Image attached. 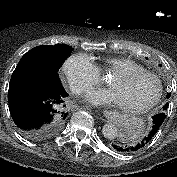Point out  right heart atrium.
<instances>
[{
    "instance_id": "d8ad5b80",
    "label": "right heart atrium",
    "mask_w": 177,
    "mask_h": 177,
    "mask_svg": "<svg viewBox=\"0 0 177 177\" xmlns=\"http://www.w3.org/2000/svg\"><path fill=\"white\" fill-rule=\"evenodd\" d=\"M63 72L70 88L76 94H83L101 81L97 65L86 54H74L66 59Z\"/></svg>"
}]
</instances>
